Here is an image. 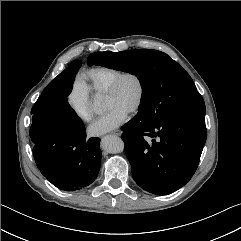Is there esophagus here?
Masks as SVG:
<instances>
[{
	"mask_svg": "<svg viewBox=\"0 0 241 241\" xmlns=\"http://www.w3.org/2000/svg\"><path fill=\"white\" fill-rule=\"evenodd\" d=\"M113 135H120L121 134V131L120 130H115L112 132Z\"/></svg>",
	"mask_w": 241,
	"mask_h": 241,
	"instance_id": "34e87169",
	"label": "esophagus"
}]
</instances>
